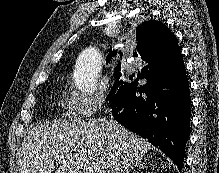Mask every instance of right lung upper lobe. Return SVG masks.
<instances>
[{"mask_svg": "<svg viewBox=\"0 0 219 173\" xmlns=\"http://www.w3.org/2000/svg\"><path fill=\"white\" fill-rule=\"evenodd\" d=\"M137 47L134 56L139 55L144 61L155 58L161 63L173 64L182 59L178 40L169 28L159 21H145L136 29ZM116 55L111 51L106 57L107 63ZM122 57V54H121ZM117 69H120V63Z\"/></svg>", "mask_w": 219, "mask_h": 173, "instance_id": "cb5924a9", "label": "right lung upper lobe"}]
</instances>
